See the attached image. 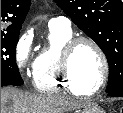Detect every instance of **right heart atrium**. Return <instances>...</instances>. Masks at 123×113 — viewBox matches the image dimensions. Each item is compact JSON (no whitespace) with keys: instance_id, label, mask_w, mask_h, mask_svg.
<instances>
[{"instance_id":"right-heart-atrium-1","label":"right heart atrium","mask_w":123,"mask_h":113,"mask_svg":"<svg viewBox=\"0 0 123 113\" xmlns=\"http://www.w3.org/2000/svg\"><path fill=\"white\" fill-rule=\"evenodd\" d=\"M32 45L31 34L24 33L18 38L14 47L15 65L23 78L33 75L35 60L32 54Z\"/></svg>"}]
</instances>
